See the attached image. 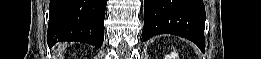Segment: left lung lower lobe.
Listing matches in <instances>:
<instances>
[{"label": "left lung lower lobe", "instance_id": "1", "mask_svg": "<svg viewBox=\"0 0 261 59\" xmlns=\"http://www.w3.org/2000/svg\"><path fill=\"white\" fill-rule=\"evenodd\" d=\"M204 26L203 0H144L143 41L174 34L189 39L204 52Z\"/></svg>", "mask_w": 261, "mask_h": 59}]
</instances>
